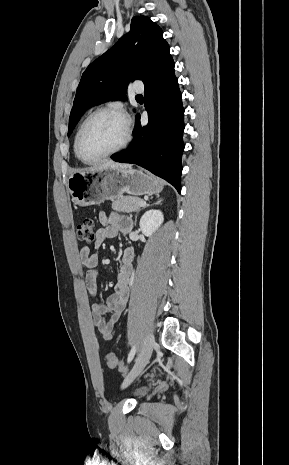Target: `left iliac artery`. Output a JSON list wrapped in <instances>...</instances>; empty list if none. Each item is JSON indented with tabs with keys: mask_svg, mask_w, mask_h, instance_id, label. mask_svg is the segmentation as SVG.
<instances>
[{
	"mask_svg": "<svg viewBox=\"0 0 289 465\" xmlns=\"http://www.w3.org/2000/svg\"><path fill=\"white\" fill-rule=\"evenodd\" d=\"M135 353H136V346H133L128 355V359H127L128 362H131V360L134 358Z\"/></svg>",
	"mask_w": 289,
	"mask_h": 465,
	"instance_id": "1",
	"label": "left iliac artery"
}]
</instances>
